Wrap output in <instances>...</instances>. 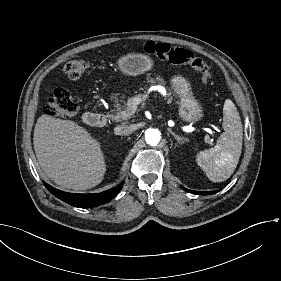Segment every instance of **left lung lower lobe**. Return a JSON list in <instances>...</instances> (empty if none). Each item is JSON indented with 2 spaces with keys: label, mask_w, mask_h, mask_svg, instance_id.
Returning a JSON list of instances; mask_svg holds the SVG:
<instances>
[{
  "label": "left lung lower lobe",
  "mask_w": 281,
  "mask_h": 281,
  "mask_svg": "<svg viewBox=\"0 0 281 281\" xmlns=\"http://www.w3.org/2000/svg\"><path fill=\"white\" fill-rule=\"evenodd\" d=\"M184 190L190 191L193 194H198V195H211V194L217 193L219 191V190H216V191H191V190H187L185 188H184Z\"/></svg>",
  "instance_id": "left-lung-lower-lobe-1"
}]
</instances>
